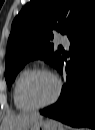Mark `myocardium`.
I'll list each match as a JSON object with an SVG mask.
<instances>
[{
    "label": "myocardium",
    "mask_w": 95,
    "mask_h": 130,
    "mask_svg": "<svg viewBox=\"0 0 95 130\" xmlns=\"http://www.w3.org/2000/svg\"><path fill=\"white\" fill-rule=\"evenodd\" d=\"M38 74L49 75L55 81L56 93L49 101H47L45 103L33 104L26 96V86H27L28 82L30 81V79L33 76L38 75ZM61 89H62L61 81L53 72H51L50 70L45 69V68H36V69L30 70L28 72V74L25 76V78L23 79L21 86H20V98H21L22 102L30 109H34V110L41 109V108L47 107V106L55 103L61 94Z\"/></svg>",
    "instance_id": "myocardium-1"
}]
</instances>
